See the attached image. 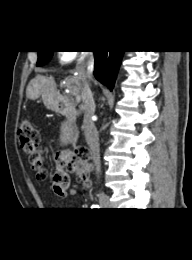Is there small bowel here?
<instances>
[{
	"mask_svg": "<svg viewBox=\"0 0 192 260\" xmlns=\"http://www.w3.org/2000/svg\"><path fill=\"white\" fill-rule=\"evenodd\" d=\"M70 194H71V195H74V194H75V191H74V190H71V191H70Z\"/></svg>",
	"mask_w": 192,
	"mask_h": 260,
	"instance_id": "obj_1",
	"label": "small bowel"
}]
</instances>
